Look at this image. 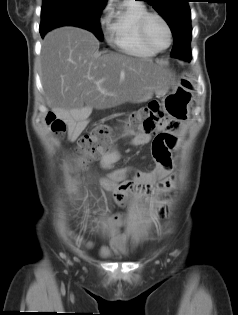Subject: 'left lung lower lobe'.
<instances>
[{
	"instance_id": "1",
	"label": "left lung lower lobe",
	"mask_w": 238,
	"mask_h": 315,
	"mask_svg": "<svg viewBox=\"0 0 238 315\" xmlns=\"http://www.w3.org/2000/svg\"><path fill=\"white\" fill-rule=\"evenodd\" d=\"M174 45L171 51V56L190 60L191 59V51H190V40H188L183 35H173Z\"/></svg>"
}]
</instances>
